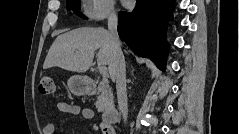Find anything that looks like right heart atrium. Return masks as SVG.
<instances>
[{
  "label": "right heart atrium",
  "instance_id": "right-heart-atrium-1",
  "mask_svg": "<svg viewBox=\"0 0 239 134\" xmlns=\"http://www.w3.org/2000/svg\"><path fill=\"white\" fill-rule=\"evenodd\" d=\"M85 16L91 21H102L114 16L112 0H87L83 6Z\"/></svg>",
  "mask_w": 239,
  "mask_h": 134
}]
</instances>
